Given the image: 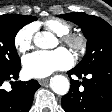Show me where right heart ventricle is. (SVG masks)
I'll return each instance as SVG.
<instances>
[{
  "instance_id": "obj_1",
  "label": "right heart ventricle",
  "mask_w": 112,
  "mask_h": 112,
  "mask_svg": "<svg viewBox=\"0 0 112 112\" xmlns=\"http://www.w3.org/2000/svg\"><path fill=\"white\" fill-rule=\"evenodd\" d=\"M43 25L59 37L68 34L71 30V25L69 23L56 18L46 20Z\"/></svg>"
}]
</instances>
